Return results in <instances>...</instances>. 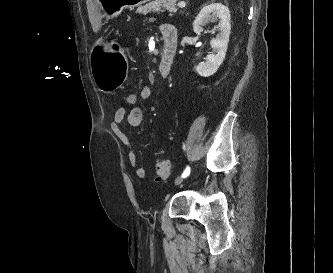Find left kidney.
I'll list each match as a JSON object with an SVG mask.
<instances>
[{"label": "left kidney", "instance_id": "left-kidney-1", "mask_svg": "<svg viewBox=\"0 0 333 273\" xmlns=\"http://www.w3.org/2000/svg\"><path fill=\"white\" fill-rule=\"evenodd\" d=\"M230 11L221 3H211L204 6L193 23L195 33H201L208 22L218 21V34L210 41L212 53L207 55L204 62L195 67L196 72L203 77L213 75L223 63L228 47L231 31Z\"/></svg>", "mask_w": 333, "mask_h": 273}]
</instances>
